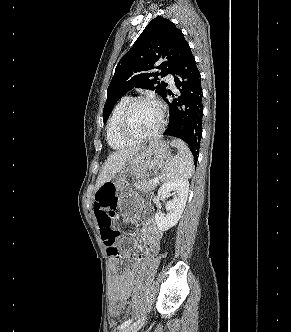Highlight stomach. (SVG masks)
<instances>
[{"instance_id":"0dacf381","label":"stomach","mask_w":291,"mask_h":332,"mask_svg":"<svg viewBox=\"0 0 291 332\" xmlns=\"http://www.w3.org/2000/svg\"><path fill=\"white\" fill-rule=\"evenodd\" d=\"M171 158L169 144L165 141H155L143 147L127 162L124 169L113 180L118 192L117 206L120 213H125L139 201V196L126 187L127 176L136 179L146 178L151 172L161 169Z\"/></svg>"}]
</instances>
